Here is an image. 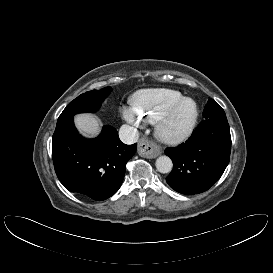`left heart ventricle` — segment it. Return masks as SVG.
Masks as SVG:
<instances>
[{"label": "left heart ventricle", "instance_id": "1", "mask_svg": "<svg viewBox=\"0 0 273 273\" xmlns=\"http://www.w3.org/2000/svg\"><path fill=\"white\" fill-rule=\"evenodd\" d=\"M193 114V105L187 103L182 106L172 118L169 124V131L176 132L183 129Z\"/></svg>", "mask_w": 273, "mask_h": 273}]
</instances>
